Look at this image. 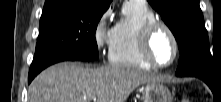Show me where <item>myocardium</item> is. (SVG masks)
Here are the masks:
<instances>
[{"label": "myocardium", "instance_id": "f54148a6", "mask_svg": "<svg viewBox=\"0 0 221 102\" xmlns=\"http://www.w3.org/2000/svg\"><path fill=\"white\" fill-rule=\"evenodd\" d=\"M159 30H164L170 36L174 45V55L170 62L166 64H161L157 62L151 52V44L155 33ZM139 50L143 60L153 68L164 69L168 68L175 63L179 56V42L173 32V30L164 22L159 20H154L146 23L140 31L139 34Z\"/></svg>", "mask_w": 221, "mask_h": 102}]
</instances>
